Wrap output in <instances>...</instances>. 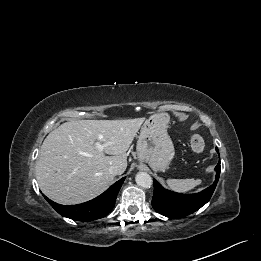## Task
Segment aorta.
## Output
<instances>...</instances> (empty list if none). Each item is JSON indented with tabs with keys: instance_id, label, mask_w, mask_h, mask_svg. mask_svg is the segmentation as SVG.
<instances>
[{
	"instance_id": "762f6f07",
	"label": "aorta",
	"mask_w": 261,
	"mask_h": 261,
	"mask_svg": "<svg viewBox=\"0 0 261 261\" xmlns=\"http://www.w3.org/2000/svg\"><path fill=\"white\" fill-rule=\"evenodd\" d=\"M138 186L148 189L152 186V178L146 172H138L135 177Z\"/></svg>"
}]
</instances>
